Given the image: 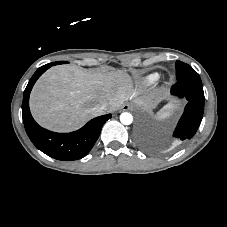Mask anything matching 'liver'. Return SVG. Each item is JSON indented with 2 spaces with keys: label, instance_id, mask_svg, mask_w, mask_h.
<instances>
[{
  "label": "liver",
  "instance_id": "obj_1",
  "mask_svg": "<svg viewBox=\"0 0 227 227\" xmlns=\"http://www.w3.org/2000/svg\"><path fill=\"white\" fill-rule=\"evenodd\" d=\"M139 91L122 70L87 71L74 65L49 69L36 82L30 96V110L44 128L69 132L93 118L92 107L106 102L116 111L125 101L149 107L151 101L138 98Z\"/></svg>",
  "mask_w": 227,
  "mask_h": 227
}]
</instances>
